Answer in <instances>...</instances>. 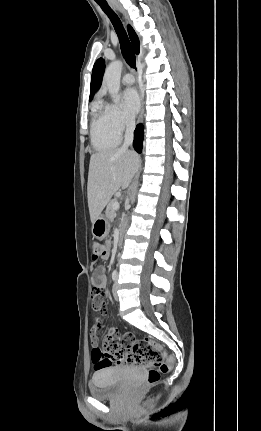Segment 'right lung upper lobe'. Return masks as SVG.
Returning a JSON list of instances; mask_svg holds the SVG:
<instances>
[{
	"label": "right lung upper lobe",
	"instance_id": "1",
	"mask_svg": "<svg viewBox=\"0 0 261 431\" xmlns=\"http://www.w3.org/2000/svg\"><path fill=\"white\" fill-rule=\"evenodd\" d=\"M128 33L131 40V43L133 45V48L136 52V54L139 53V39L133 30V28L128 25ZM105 69V62L102 58H99L93 67L92 70V76H91V85H90V97L89 100L92 99L95 92L100 88L102 83V77Z\"/></svg>",
	"mask_w": 261,
	"mask_h": 431
}]
</instances>
